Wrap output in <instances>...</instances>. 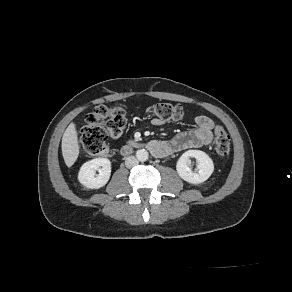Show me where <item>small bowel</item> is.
<instances>
[{
    "label": "small bowel",
    "mask_w": 292,
    "mask_h": 292,
    "mask_svg": "<svg viewBox=\"0 0 292 292\" xmlns=\"http://www.w3.org/2000/svg\"><path fill=\"white\" fill-rule=\"evenodd\" d=\"M196 127L182 132L168 141L154 140L150 143L151 152L158 157H165L176 152L192 148H199L212 143L214 122L205 115H199L195 119ZM152 124L161 126L163 120L153 118Z\"/></svg>",
    "instance_id": "obj_1"
}]
</instances>
